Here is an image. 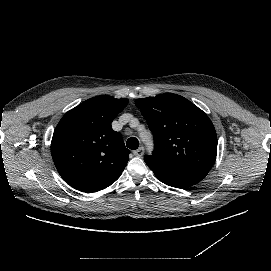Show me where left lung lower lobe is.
Segmentation results:
<instances>
[{"mask_svg":"<svg viewBox=\"0 0 271 271\" xmlns=\"http://www.w3.org/2000/svg\"><path fill=\"white\" fill-rule=\"evenodd\" d=\"M155 176L164 184L186 189L200 182L209 172L207 169L168 163L153 156L144 158Z\"/></svg>","mask_w":271,"mask_h":271,"instance_id":"obj_1","label":"left lung lower lobe"}]
</instances>
